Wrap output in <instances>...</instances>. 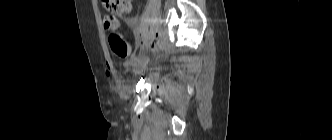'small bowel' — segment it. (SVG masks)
<instances>
[{
    "mask_svg": "<svg viewBox=\"0 0 332 140\" xmlns=\"http://www.w3.org/2000/svg\"><path fill=\"white\" fill-rule=\"evenodd\" d=\"M128 64H130L129 61H125L124 65L128 66Z\"/></svg>",
    "mask_w": 332,
    "mask_h": 140,
    "instance_id": "c3829d8e",
    "label": "small bowel"
}]
</instances>
